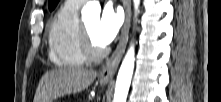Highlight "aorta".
<instances>
[{
  "label": "aorta",
  "instance_id": "obj_1",
  "mask_svg": "<svg viewBox=\"0 0 221 102\" xmlns=\"http://www.w3.org/2000/svg\"><path fill=\"white\" fill-rule=\"evenodd\" d=\"M140 0H134L135 10L137 11ZM101 7L97 0H89L83 7L81 14L83 19L90 18L91 16L100 14ZM135 64V50L134 45H131L128 49L123 62L120 66L113 102H126L131 79L134 71Z\"/></svg>",
  "mask_w": 221,
  "mask_h": 102
}]
</instances>
